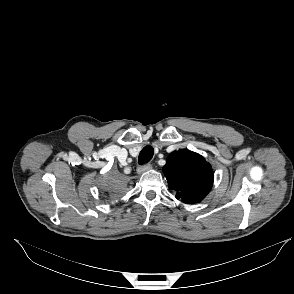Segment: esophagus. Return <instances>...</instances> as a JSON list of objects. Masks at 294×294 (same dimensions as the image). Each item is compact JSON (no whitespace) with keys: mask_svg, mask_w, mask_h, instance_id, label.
I'll list each match as a JSON object with an SVG mask.
<instances>
[{"mask_svg":"<svg viewBox=\"0 0 294 294\" xmlns=\"http://www.w3.org/2000/svg\"><path fill=\"white\" fill-rule=\"evenodd\" d=\"M151 168H152L151 164L141 165L137 168V173L142 174L143 172H146V171L150 170Z\"/></svg>","mask_w":294,"mask_h":294,"instance_id":"esophagus-1","label":"esophagus"}]
</instances>
